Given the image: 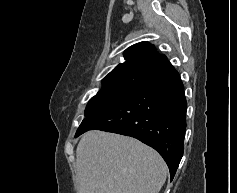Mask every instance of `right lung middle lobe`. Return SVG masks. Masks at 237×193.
Returning <instances> with one entry per match:
<instances>
[{
  "mask_svg": "<svg viewBox=\"0 0 237 193\" xmlns=\"http://www.w3.org/2000/svg\"><path fill=\"white\" fill-rule=\"evenodd\" d=\"M144 73V70L130 71L104 78L102 88L86 106V118L107 111L124 101L140 85Z\"/></svg>",
  "mask_w": 237,
  "mask_h": 193,
  "instance_id": "obj_1",
  "label": "right lung middle lobe"
}]
</instances>
